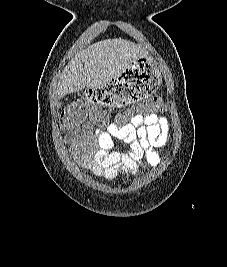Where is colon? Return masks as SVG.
Listing matches in <instances>:
<instances>
[{
	"label": "colon",
	"instance_id": "1",
	"mask_svg": "<svg viewBox=\"0 0 227 267\" xmlns=\"http://www.w3.org/2000/svg\"><path fill=\"white\" fill-rule=\"evenodd\" d=\"M163 108V102L155 98L145 101L143 105H130V110L136 111H129V114L128 111H125V114H127V119H134V116L160 115V110ZM104 118L117 119V114L106 115V110H95V113H93L88 104H84L83 100L72 102L63 112V119L67 127H77L86 119L100 122Z\"/></svg>",
	"mask_w": 227,
	"mask_h": 267
}]
</instances>
